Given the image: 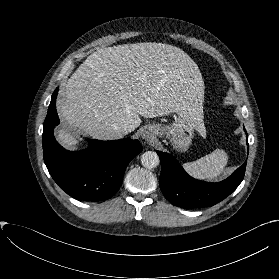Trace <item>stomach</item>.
<instances>
[{
	"mask_svg": "<svg viewBox=\"0 0 279 279\" xmlns=\"http://www.w3.org/2000/svg\"><path fill=\"white\" fill-rule=\"evenodd\" d=\"M202 111L196 113L192 110H184L175 113L173 121L169 124H154L152 127L160 137L170 140L174 149L185 152L192 144L195 133L203 125Z\"/></svg>",
	"mask_w": 279,
	"mask_h": 279,
	"instance_id": "0dacf381",
	"label": "stomach"
}]
</instances>
